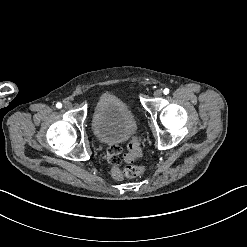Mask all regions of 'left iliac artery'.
I'll use <instances>...</instances> for the list:
<instances>
[{
  "label": "left iliac artery",
  "instance_id": "left-iliac-artery-1",
  "mask_svg": "<svg viewBox=\"0 0 247 247\" xmlns=\"http://www.w3.org/2000/svg\"><path fill=\"white\" fill-rule=\"evenodd\" d=\"M163 93H164L165 95H167V94L169 93V89H168V88H165V89L163 90Z\"/></svg>",
  "mask_w": 247,
  "mask_h": 247
}]
</instances>
